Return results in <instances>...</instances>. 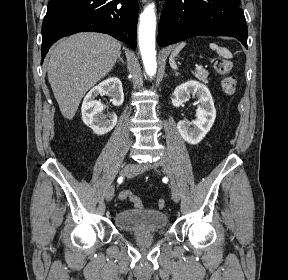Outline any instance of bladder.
Here are the masks:
<instances>
[{"mask_svg":"<svg viewBox=\"0 0 288 280\" xmlns=\"http://www.w3.org/2000/svg\"><path fill=\"white\" fill-rule=\"evenodd\" d=\"M167 215L154 209H124L114 215L115 226L127 232H158L166 228Z\"/></svg>","mask_w":288,"mask_h":280,"instance_id":"obj_1","label":"bladder"}]
</instances>
